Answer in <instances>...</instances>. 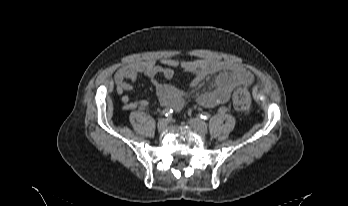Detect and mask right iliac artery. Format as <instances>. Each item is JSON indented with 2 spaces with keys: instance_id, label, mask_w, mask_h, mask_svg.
<instances>
[{
  "instance_id": "1",
  "label": "right iliac artery",
  "mask_w": 348,
  "mask_h": 206,
  "mask_svg": "<svg viewBox=\"0 0 348 206\" xmlns=\"http://www.w3.org/2000/svg\"><path fill=\"white\" fill-rule=\"evenodd\" d=\"M140 108H143V111H145V113H147V114H155V109L148 108V106H145V103H140ZM172 113H173L172 109L165 108L162 111L161 115L168 117V116H171Z\"/></svg>"
}]
</instances>
